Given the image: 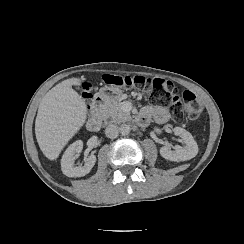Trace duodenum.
Instances as JSON below:
<instances>
[{"label": "duodenum", "mask_w": 244, "mask_h": 244, "mask_svg": "<svg viewBox=\"0 0 244 244\" xmlns=\"http://www.w3.org/2000/svg\"><path fill=\"white\" fill-rule=\"evenodd\" d=\"M108 93H101L97 95L91 103L92 115L87 121V129L91 132H96L105 123L104 108L106 101L109 99ZM139 121L144 123V119L139 118Z\"/></svg>", "instance_id": "410a0bca"}]
</instances>
